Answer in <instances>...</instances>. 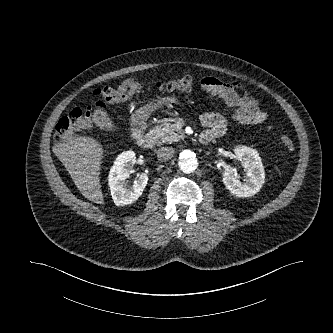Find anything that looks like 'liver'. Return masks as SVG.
Instances as JSON below:
<instances>
[{
  "label": "liver",
  "instance_id": "liver-1",
  "mask_svg": "<svg viewBox=\"0 0 333 333\" xmlns=\"http://www.w3.org/2000/svg\"><path fill=\"white\" fill-rule=\"evenodd\" d=\"M56 152L81 194L88 200L103 205L104 197L99 179L102 145L93 137H71L67 143L57 144Z\"/></svg>",
  "mask_w": 333,
  "mask_h": 333
}]
</instances>
